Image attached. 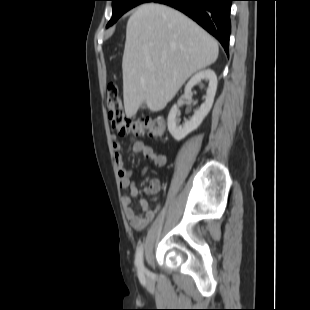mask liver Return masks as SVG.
I'll use <instances>...</instances> for the list:
<instances>
[{
  "instance_id": "1",
  "label": "liver",
  "mask_w": 310,
  "mask_h": 310,
  "mask_svg": "<svg viewBox=\"0 0 310 310\" xmlns=\"http://www.w3.org/2000/svg\"><path fill=\"white\" fill-rule=\"evenodd\" d=\"M217 41L184 14L156 3L143 4L126 28L122 60L126 116L145 103L164 109L184 82L218 58Z\"/></svg>"
}]
</instances>
